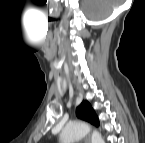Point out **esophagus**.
I'll return each instance as SVG.
<instances>
[{
	"instance_id": "esophagus-1",
	"label": "esophagus",
	"mask_w": 145,
	"mask_h": 143,
	"mask_svg": "<svg viewBox=\"0 0 145 143\" xmlns=\"http://www.w3.org/2000/svg\"><path fill=\"white\" fill-rule=\"evenodd\" d=\"M85 143H90V137L89 136L86 138Z\"/></svg>"
}]
</instances>
